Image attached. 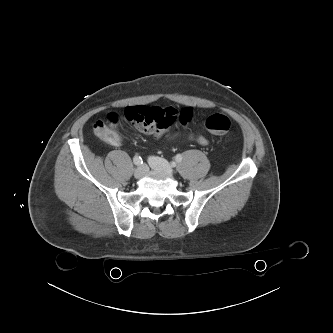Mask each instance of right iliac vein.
<instances>
[{
	"label": "right iliac vein",
	"instance_id": "right-iliac-vein-1",
	"mask_svg": "<svg viewBox=\"0 0 333 333\" xmlns=\"http://www.w3.org/2000/svg\"><path fill=\"white\" fill-rule=\"evenodd\" d=\"M145 173H146V166L145 165L139 166L134 172V177L136 179H140L141 177L144 176Z\"/></svg>",
	"mask_w": 333,
	"mask_h": 333
}]
</instances>
